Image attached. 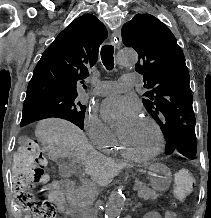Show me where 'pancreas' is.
<instances>
[{"mask_svg": "<svg viewBox=\"0 0 211 218\" xmlns=\"http://www.w3.org/2000/svg\"><path fill=\"white\" fill-rule=\"evenodd\" d=\"M81 190H70L69 194L71 195V200L69 201L70 205L78 206L82 214H88L90 206L93 204V198L96 197L97 193L95 188H88V186H81ZM138 190V196L144 198V200H156L158 194L144 186L142 182H137L135 184V189Z\"/></svg>", "mask_w": 211, "mask_h": 218, "instance_id": "1", "label": "pancreas"}]
</instances>
